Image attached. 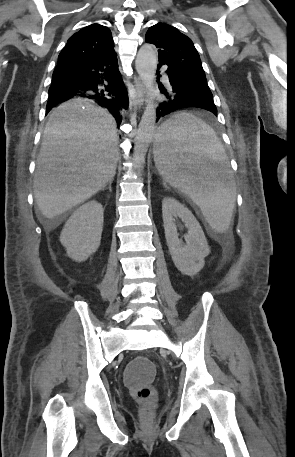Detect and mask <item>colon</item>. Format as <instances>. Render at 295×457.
<instances>
[{
    "instance_id": "1",
    "label": "colon",
    "mask_w": 295,
    "mask_h": 457,
    "mask_svg": "<svg viewBox=\"0 0 295 457\" xmlns=\"http://www.w3.org/2000/svg\"><path fill=\"white\" fill-rule=\"evenodd\" d=\"M155 364L150 357H136L135 363H129L124 370V382L128 384L133 398L141 405V415L150 418L153 413L156 393L151 378H157Z\"/></svg>"
}]
</instances>
